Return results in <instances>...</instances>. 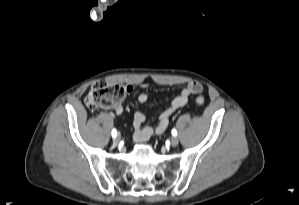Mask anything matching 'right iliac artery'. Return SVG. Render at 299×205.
Masks as SVG:
<instances>
[{
    "label": "right iliac artery",
    "mask_w": 299,
    "mask_h": 205,
    "mask_svg": "<svg viewBox=\"0 0 299 205\" xmlns=\"http://www.w3.org/2000/svg\"><path fill=\"white\" fill-rule=\"evenodd\" d=\"M112 137L115 138L117 136V131L115 129L112 130Z\"/></svg>",
    "instance_id": "82829eb1"
}]
</instances>
